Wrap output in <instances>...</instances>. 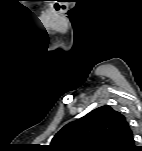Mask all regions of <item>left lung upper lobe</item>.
I'll return each mask as SVG.
<instances>
[{"instance_id":"obj_1","label":"left lung upper lobe","mask_w":142,"mask_h":151,"mask_svg":"<svg viewBox=\"0 0 142 151\" xmlns=\"http://www.w3.org/2000/svg\"><path fill=\"white\" fill-rule=\"evenodd\" d=\"M133 140L124 115L104 105L65 125L50 145L56 151H126Z\"/></svg>"}]
</instances>
